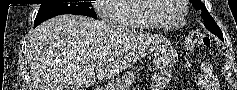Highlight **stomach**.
Segmentation results:
<instances>
[{
    "label": "stomach",
    "instance_id": "stomach-1",
    "mask_svg": "<svg viewBox=\"0 0 237 90\" xmlns=\"http://www.w3.org/2000/svg\"><path fill=\"white\" fill-rule=\"evenodd\" d=\"M176 54L172 51H167L162 55L155 57L154 63L157 68H165L175 62ZM134 80V73L127 72L124 76L117 79L115 82L108 85V90H127Z\"/></svg>",
    "mask_w": 237,
    "mask_h": 90
}]
</instances>
